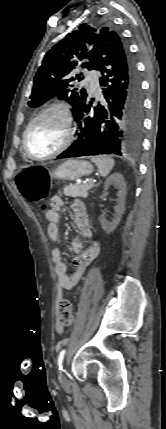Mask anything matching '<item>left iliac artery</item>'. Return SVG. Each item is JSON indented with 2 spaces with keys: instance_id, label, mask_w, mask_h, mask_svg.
<instances>
[{
  "instance_id": "1",
  "label": "left iliac artery",
  "mask_w": 166,
  "mask_h": 429,
  "mask_svg": "<svg viewBox=\"0 0 166 429\" xmlns=\"http://www.w3.org/2000/svg\"><path fill=\"white\" fill-rule=\"evenodd\" d=\"M65 352H66L65 349L61 350V352L59 353V356H58L59 370H62V362H63V359H64Z\"/></svg>"
}]
</instances>
